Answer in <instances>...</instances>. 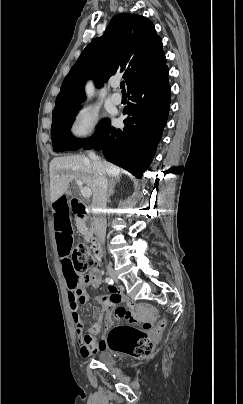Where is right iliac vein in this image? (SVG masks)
<instances>
[{"instance_id":"right-iliac-vein-1","label":"right iliac vein","mask_w":243,"mask_h":404,"mask_svg":"<svg viewBox=\"0 0 243 404\" xmlns=\"http://www.w3.org/2000/svg\"><path fill=\"white\" fill-rule=\"evenodd\" d=\"M109 276H110L113 280L118 281V277H117V275H116L115 272L110 271V272H109Z\"/></svg>"}]
</instances>
